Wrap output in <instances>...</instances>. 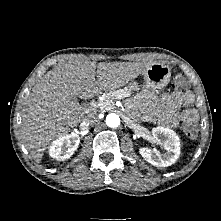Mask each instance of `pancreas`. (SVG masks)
I'll list each match as a JSON object with an SVG mask.
<instances>
[{"mask_svg": "<svg viewBox=\"0 0 221 221\" xmlns=\"http://www.w3.org/2000/svg\"><path fill=\"white\" fill-rule=\"evenodd\" d=\"M130 91L127 89H119L116 91H111L105 93L102 96V100L97 102L96 107L99 108L100 111L111 110L115 107L114 101L117 99H123L125 101L126 107L132 108V100L130 98Z\"/></svg>", "mask_w": 221, "mask_h": 221, "instance_id": "pancreas-1", "label": "pancreas"}]
</instances>
